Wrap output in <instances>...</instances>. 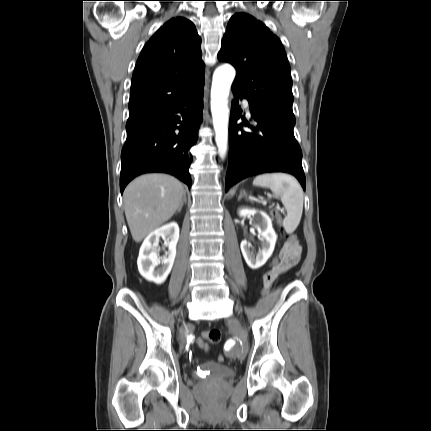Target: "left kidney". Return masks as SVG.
<instances>
[{"instance_id": "1", "label": "left kidney", "mask_w": 431, "mask_h": 431, "mask_svg": "<svg viewBox=\"0 0 431 431\" xmlns=\"http://www.w3.org/2000/svg\"><path fill=\"white\" fill-rule=\"evenodd\" d=\"M239 216H252L255 220V226L262 242V248L259 249V252L255 256L250 252L249 244L246 240L241 242L240 247L247 265L251 269H258L271 257L275 248L277 235L272 227V221L265 212L249 208L240 209Z\"/></svg>"}]
</instances>
